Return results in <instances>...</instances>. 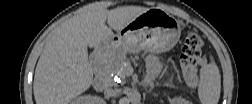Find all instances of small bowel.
<instances>
[{
  "label": "small bowel",
  "instance_id": "obj_1",
  "mask_svg": "<svg viewBox=\"0 0 252 104\" xmlns=\"http://www.w3.org/2000/svg\"><path fill=\"white\" fill-rule=\"evenodd\" d=\"M147 65H148V80L155 79L159 72H160V66L156 58L149 57L147 59Z\"/></svg>",
  "mask_w": 252,
  "mask_h": 104
}]
</instances>
